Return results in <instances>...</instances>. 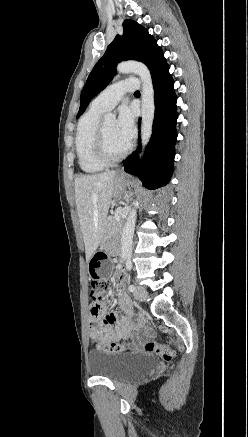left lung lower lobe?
I'll use <instances>...</instances> for the list:
<instances>
[{"label": "left lung lower lobe", "instance_id": "1", "mask_svg": "<svg viewBox=\"0 0 248 437\" xmlns=\"http://www.w3.org/2000/svg\"><path fill=\"white\" fill-rule=\"evenodd\" d=\"M155 116L153 133L147 145L144 158L139 161L138 149L125 160L124 170L137 175L144 186L156 189L165 186L173 172L174 146L177 138L176 110L177 97L173 88L174 81L169 73L168 64L153 77ZM141 119H139L140 124ZM140 141V138H139Z\"/></svg>", "mask_w": 248, "mask_h": 437}]
</instances>
